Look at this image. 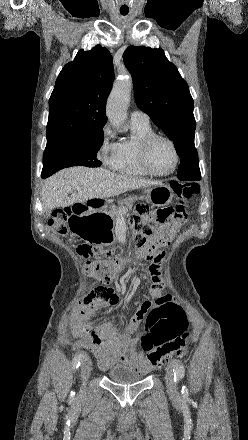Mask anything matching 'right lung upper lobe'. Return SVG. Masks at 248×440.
Listing matches in <instances>:
<instances>
[{
	"label": "right lung upper lobe",
	"mask_w": 248,
	"mask_h": 440,
	"mask_svg": "<svg viewBox=\"0 0 248 440\" xmlns=\"http://www.w3.org/2000/svg\"><path fill=\"white\" fill-rule=\"evenodd\" d=\"M113 80L112 56L106 48L79 50L60 72L49 99L47 143L102 129Z\"/></svg>",
	"instance_id": "obj_1"
}]
</instances>
